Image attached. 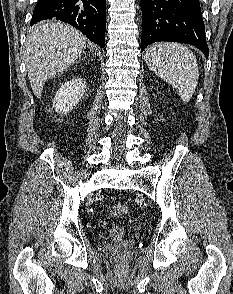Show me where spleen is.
<instances>
[{
    "label": "spleen",
    "instance_id": "1",
    "mask_svg": "<svg viewBox=\"0 0 233 294\" xmlns=\"http://www.w3.org/2000/svg\"><path fill=\"white\" fill-rule=\"evenodd\" d=\"M144 57L149 69L177 90L183 102L190 101L199 79L192 51L179 43L159 42L150 45Z\"/></svg>",
    "mask_w": 233,
    "mask_h": 294
}]
</instances>
